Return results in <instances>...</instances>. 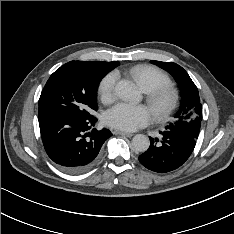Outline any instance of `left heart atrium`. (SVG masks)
I'll return each mask as SVG.
<instances>
[{"mask_svg": "<svg viewBox=\"0 0 234 234\" xmlns=\"http://www.w3.org/2000/svg\"><path fill=\"white\" fill-rule=\"evenodd\" d=\"M151 118V112L146 106L125 103L115 105L104 114L107 125L122 131H135L147 125Z\"/></svg>", "mask_w": 234, "mask_h": 234, "instance_id": "1", "label": "left heart atrium"}]
</instances>
